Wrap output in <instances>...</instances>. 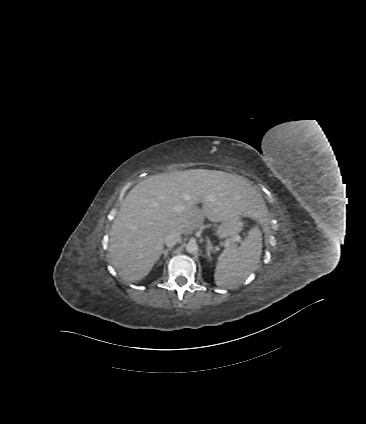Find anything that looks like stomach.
Returning a JSON list of instances; mask_svg holds the SVG:
<instances>
[{"label": "stomach", "mask_w": 366, "mask_h": 424, "mask_svg": "<svg viewBox=\"0 0 366 424\" xmlns=\"http://www.w3.org/2000/svg\"><path fill=\"white\" fill-rule=\"evenodd\" d=\"M242 228L243 223L241 221V217L230 218L220 223L217 228L216 235L220 239L228 238L240 233Z\"/></svg>", "instance_id": "stomach-1"}]
</instances>
